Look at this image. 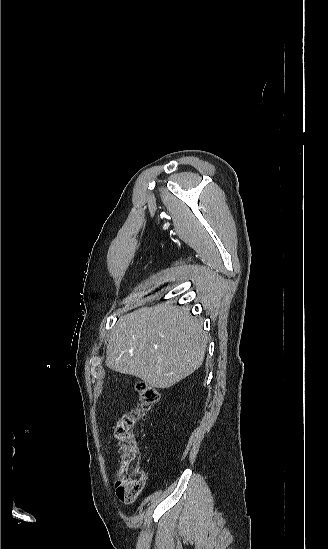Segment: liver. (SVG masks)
Masks as SVG:
<instances>
[{"label": "liver", "mask_w": 328, "mask_h": 549, "mask_svg": "<svg viewBox=\"0 0 328 549\" xmlns=\"http://www.w3.org/2000/svg\"><path fill=\"white\" fill-rule=\"evenodd\" d=\"M208 337L201 319L171 301L119 317L111 331L106 365L149 387L168 389L201 367Z\"/></svg>", "instance_id": "obj_1"}]
</instances>
